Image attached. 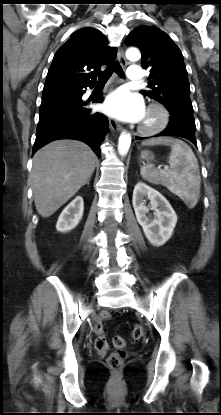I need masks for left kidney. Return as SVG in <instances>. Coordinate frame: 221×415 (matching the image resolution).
Returning <instances> with one entry per match:
<instances>
[{"instance_id": "5707ae66", "label": "left kidney", "mask_w": 221, "mask_h": 415, "mask_svg": "<svg viewBox=\"0 0 221 415\" xmlns=\"http://www.w3.org/2000/svg\"><path fill=\"white\" fill-rule=\"evenodd\" d=\"M150 200L155 218L148 216L149 208L145 206V198ZM133 208L138 223L149 242L154 246L164 245L172 236L177 223V215L167 199L157 190L139 182L134 187Z\"/></svg>"}]
</instances>
